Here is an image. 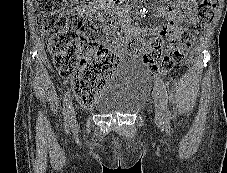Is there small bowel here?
Wrapping results in <instances>:
<instances>
[{
    "label": "small bowel",
    "mask_w": 227,
    "mask_h": 173,
    "mask_svg": "<svg viewBox=\"0 0 227 173\" xmlns=\"http://www.w3.org/2000/svg\"><path fill=\"white\" fill-rule=\"evenodd\" d=\"M169 5L161 6L157 16L164 19L165 23L157 28L144 29L134 25L125 15L118 16L119 31L114 45L116 56L134 55L129 50V41L135 38L142 39L147 34H157L167 38V46H171L182 34V23L193 20L197 0H164ZM117 0L115 4L120 3Z\"/></svg>",
    "instance_id": "c3829d8e"
}]
</instances>
